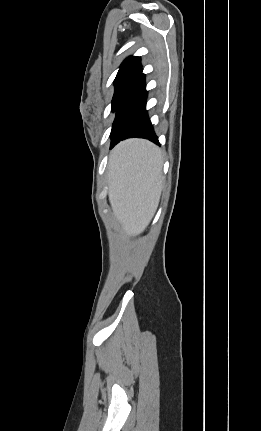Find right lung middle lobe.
<instances>
[{
  "instance_id": "1",
  "label": "right lung middle lobe",
  "mask_w": 261,
  "mask_h": 431,
  "mask_svg": "<svg viewBox=\"0 0 261 431\" xmlns=\"http://www.w3.org/2000/svg\"><path fill=\"white\" fill-rule=\"evenodd\" d=\"M139 73H131L115 79V93L112 100V111H116L122 98L128 92L132 84L138 78Z\"/></svg>"
}]
</instances>
